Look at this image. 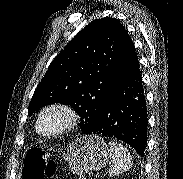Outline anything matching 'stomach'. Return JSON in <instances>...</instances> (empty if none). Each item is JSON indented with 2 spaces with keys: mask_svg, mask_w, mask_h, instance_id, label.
<instances>
[{
  "mask_svg": "<svg viewBox=\"0 0 183 179\" xmlns=\"http://www.w3.org/2000/svg\"><path fill=\"white\" fill-rule=\"evenodd\" d=\"M72 173L81 175L104 168L110 158V149L98 135H87L72 142L67 152L60 151Z\"/></svg>",
  "mask_w": 183,
  "mask_h": 179,
  "instance_id": "1",
  "label": "stomach"
}]
</instances>
